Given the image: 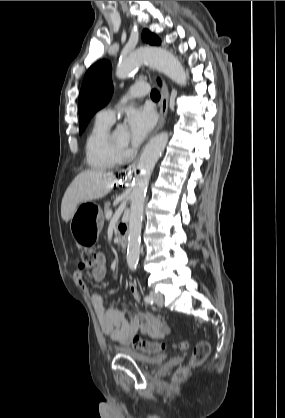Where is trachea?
Masks as SVG:
<instances>
[{
    "label": "trachea",
    "mask_w": 285,
    "mask_h": 418,
    "mask_svg": "<svg viewBox=\"0 0 285 418\" xmlns=\"http://www.w3.org/2000/svg\"><path fill=\"white\" fill-rule=\"evenodd\" d=\"M151 97L152 98H160V94L157 90L154 89V90L151 91Z\"/></svg>",
    "instance_id": "3493384b"
}]
</instances>
